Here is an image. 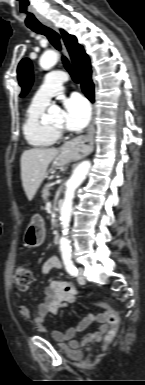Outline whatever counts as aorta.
Masks as SVG:
<instances>
[{
	"label": "aorta",
	"mask_w": 145,
	"mask_h": 385,
	"mask_svg": "<svg viewBox=\"0 0 145 385\" xmlns=\"http://www.w3.org/2000/svg\"><path fill=\"white\" fill-rule=\"evenodd\" d=\"M58 61V55L55 51H46L40 58V66L48 70L53 67ZM59 109L57 107H51L49 113L57 112ZM91 168L90 161L81 162L76 169L74 170L71 178L67 181L66 191L63 200V204L60 209V220L62 225V237L60 238V250L67 252L70 250V241L67 237L70 220L73 199L75 195V190L80 186L83 180L86 178L89 170Z\"/></svg>",
	"instance_id": "762f6f07"
}]
</instances>
